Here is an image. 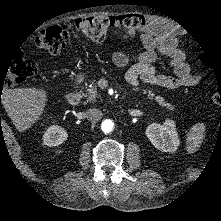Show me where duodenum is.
<instances>
[{"label": "duodenum", "mask_w": 221, "mask_h": 221, "mask_svg": "<svg viewBox=\"0 0 221 221\" xmlns=\"http://www.w3.org/2000/svg\"><path fill=\"white\" fill-rule=\"evenodd\" d=\"M74 82L76 84H79L81 82V77L78 76L74 79ZM82 98V94L78 91H71L66 93L65 95V99L67 100L68 103L72 104V105H76L80 102Z\"/></svg>", "instance_id": "1"}]
</instances>
